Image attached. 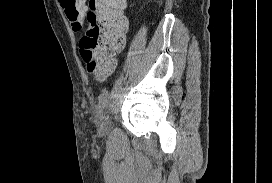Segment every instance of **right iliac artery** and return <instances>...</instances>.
Wrapping results in <instances>:
<instances>
[{
	"label": "right iliac artery",
	"instance_id": "82829eb1",
	"mask_svg": "<svg viewBox=\"0 0 272 183\" xmlns=\"http://www.w3.org/2000/svg\"><path fill=\"white\" fill-rule=\"evenodd\" d=\"M108 98H109V92L105 91L103 92L100 96H99V105H98V109L102 110L103 108H105L107 102H108Z\"/></svg>",
	"mask_w": 272,
	"mask_h": 183
}]
</instances>
